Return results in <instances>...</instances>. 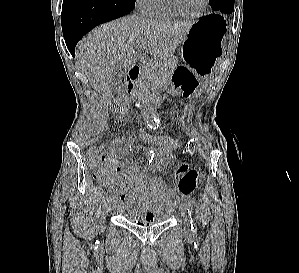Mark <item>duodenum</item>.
<instances>
[{
	"label": "duodenum",
	"instance_id": "duodenum-1",
	"mask_svg": "<svg viewBox=\"0 0 299 273\" xmlns=\"http://www.w3.org/2000/svg\"><path fill=\"white\" fill-rule=\"evenodd\" d=\"M141 73V68L138 65H134L128 74V95L130 97L134 96V91H135V84L137 79L139 78Z\"/></svg>",
	"mask_w": 299,
	"mask_h": 273
}]
</instances>
